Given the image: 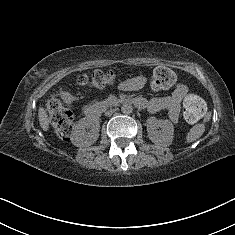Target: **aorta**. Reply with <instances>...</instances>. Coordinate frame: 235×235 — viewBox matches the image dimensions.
<instances>
[{
	"label": "aorta",
	"mask_w": 235,
	"mask_h": 235,
	"mask_svg": "<svg viewBox=\"0 0 235 235\" xmlns=\"http://www.w3.org/2000/svg\"><path fill=\"white\" fill-rule=\"evenodd\" d=\"M121 111L126 115L131 114L133 112V106L131 104L124 103L121 107Z\"/></svg>",
	"instance_id": "762f6f07"
}]
</instances>
